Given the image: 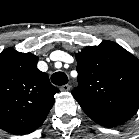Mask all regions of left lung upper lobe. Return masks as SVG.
I'll return each mask as SVG.
<instances>
[{
	"mask_svg": "<svg viewBox=\"0 0 139 139\" xmlns=\"http://www.w3.org/2000/svg\"><path fill=\"white\" fill-rule=\"evenodd\" d=\"M78 86L72 95L84 112H137L139 60L112 41H102L76 54Z\"/></svg>",
	"mask_w": 139,
	"mask_h": 139,
	"instance_id": "5c2ea615",
	"label": "left lung upper lobe"
}]
</instances>
